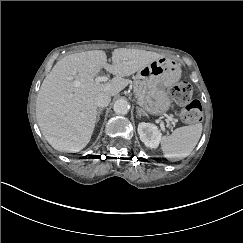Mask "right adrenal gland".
Listing matches in <instances>:
<instances>
[{"mask_svg":"<svg viewBox=\"0 0 243 243\" xmlns=\"http://www.w3.org/2000/svg\"><path fill=\"white\" fill-rule=\"evenodd\" d=\"M102 112H103V109H99V110H98L97 121L100 120V115L102 114Z\"/></svg>","mask_w":243,"mask_h":243,"instance_id":"1","label":"right adrenal gland"}]
</instances>
